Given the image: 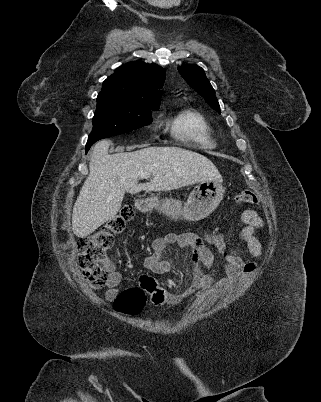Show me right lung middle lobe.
<instances>
[{"mask_svg": "<svg viewBox=\"0 0 321 402\" xmlns=\"http://www.w3.org/2000/svg\"><path fill=\"white\" fill-rule=\"evenodd\" d=\"M157 105H142L122 99L97 97V109L93 117V130L88 143L129 132L152 122L151 110Z\"/></svg>", "mask_w": 321, "mask_h": 402, "instance_id": "obj_1", "label": "right lung middle lobe"}]
</instances>
